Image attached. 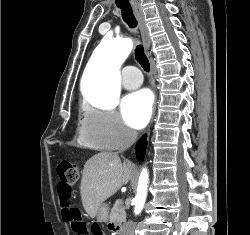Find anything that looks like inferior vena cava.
<instances>
[{"label":"inferior vena cava","mask_w":250,"mask_h":235,"mask_svg":"<svg viewBox=\"0 0 250 235\" xmlns=\"http://www.w3.org/2000/svg\"><path fill=\"white\" fill-rule=\"evenodd\" d=\"M137 139V133L131 129L124 128L123 130V142L121 149L119 152L125 151L127 148H129ZM134 227L135 224L131 220L126 222L123 226L122 234L123 235H134Z\"/></svg>","instance_id":"602c4592"}]
</instances>
